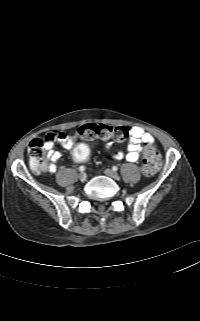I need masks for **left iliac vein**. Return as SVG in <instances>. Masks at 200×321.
Segmentation results:
<instances>
[{
    "label": "left iliac vein",
    "mask_w": 200,
    "mask_h": 321,
    "mask_svg": "<svg viewBox=\"0 0 200 321\" xmlns=\"http://www.w3.org/2000/svg\"><path fill=\"white\" fill-rule=\"evenodd\" d=\"M104 173H105L108 177H110V178H112V179H114V180H118V179H119L118 173L115 172V171L112 170V169H106V170L104 171Z\"/></svg>",
    "instance_id": "left-iliac-vein-1"
}]
</instances>
